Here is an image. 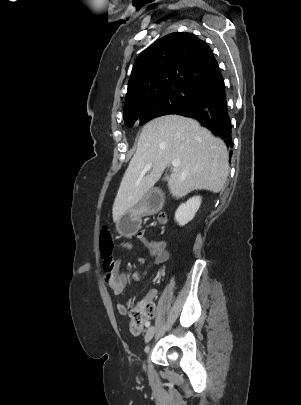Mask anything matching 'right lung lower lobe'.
Segmentation results:
<instances>
[{
  "label": "right lung lower lobe",
  "mask_w": 301,
  "mask_h": 405,
  "mask_svg": "<svg viewBox=\"0 0 301 405\" xmlns=\"http://www.w3.org/2000/svg\"><path fill=\"white\" fill-rule=\"evenodd\" d=\"M170 114L198 120L202 126L220 137L227 147H233L232 124L226 102L224 83L196 103L178 108Z\"/></svg>",
  "instance_id": "1"
}]
</instances>
